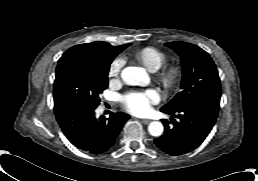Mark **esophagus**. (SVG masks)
<instances>
[{"label": "esophagus", "instance_id": "34e87169", "mask_svg": "<svg viewBox=\"0 0 258 181\" xmlns=\"http://www.w3.org/2000/svg\"><path fill=\"white\" fill-rule=\"evenodd\" d=\"M141 122L144 124H149L151 122L150 119H141Z\"/></svg>", "mask_w": 258, "mask_h": 181}]
</instances>
